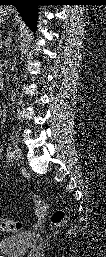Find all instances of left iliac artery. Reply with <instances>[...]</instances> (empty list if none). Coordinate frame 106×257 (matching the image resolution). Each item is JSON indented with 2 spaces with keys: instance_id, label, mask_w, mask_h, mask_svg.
I'll list each match as a JSON object with an SVG mask.
<instances>
[{
  "instance_id": "44dca946",
  "label": "left iliac artery",
  "mask_w": 106,
  "mask_h": 257,
  "mask_svg": "<svg viewBox=\"0 0 106 257\" xmlns=\"http://www.w3.org/2000/svg\"><path fill=\"white\" fill-rule=\"evenodd\" d=\"M7 157H8V159H11L13 157V150H12V146L11 145L8 146Z\"/></svg>"
}]
</instances>
